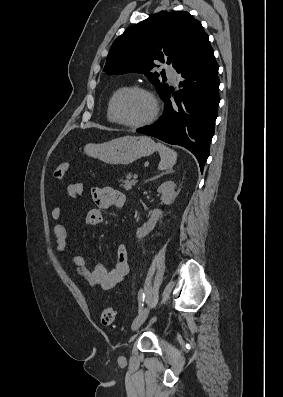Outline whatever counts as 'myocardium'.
Segmentation results:
<instances>
[{"mask_svg": "<svg viewBox=\"0 0 283 397\" xmlns=\"http://www.w3.org/2000/svg\"><path fill=\"white\" fill-rule=\"evenodd\" d=\"M132 93H143L145 95H147L153 104V110L152 113L149 115V117H147L146 119H144L143 121L137 122V123H131V122H127L124 121L119 113V104L121 102V100L126 97L129 94ZM113 114L115 117V120L118 124L125 126L127 128H132V129H138V128H142L144 126H147L149 124H151L158 116L159 114V110H160V106H159V101L157 99V97L155 96V94L148 88L143 87V86H131L126 88L125 90L121 91L114 99L113 101Z\"/></svg>", "mask_w": 283, "mask_h": 397, "instance_id": "myocardium-1", "label": "myocardium"}]
</instances>
